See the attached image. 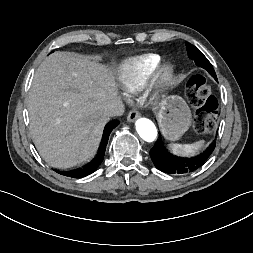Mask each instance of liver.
Listing matches in <instances>:
<instances>
[{"mask_svg": "<svg viewBox=\"0 0 253 253\" xmlns=\"http://www.w3.org/2000/svg\"><path fill=\"white\" fill-rule=\"evenodd\" d=\"M115 71L69 51L41 62L27 97L30 135L52 167L68 168L97 149L107 103L119 98Z\"/></svg>", "mask_w": 253, "mask_h": 253, "instance_id": "1", "label": "liver"}]
</instances>
